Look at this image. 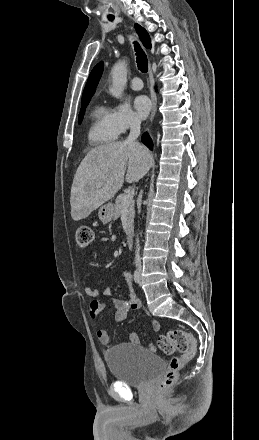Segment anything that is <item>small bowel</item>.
I'll return each mask as SVG.
<instances>
[{
  "instance_id": "obj_1",
  "label": "small bowel",
  "mask_w": 259,
  "mask_h": 440,
  "mask_svg": "<svg viewBox=\"0 0 259 440\" xmlns=\"http://www.w3.org/2000/svg\"><path fill=\"white\" fill-rule=\"evenodd\" d=\"M103 242L115 241L116 236L111 235L109 237H103L101 239ZM122 277L126 286L128 299H113L110 298L112 295V291L109 288H91L90 286H85V293L88 297L92 298L89 305V314L92 318H96L100 313H102L106 307V303L100 302L96 300L99 296H103L107 299V303L110 304L114 309V320L117 322H121L125 320L131 311L141 310L143 309V305L141 301L136 297L134 286H133V278L132 275L128 271H124L122 273ZM150 324L155 331L160 330V323L156 320H151ZM97 337L101 344L106 347L112 346V337L109 331L105 329H101L97 331ZM128 343L132 345H138L140 343V338L137 333L132 332L129 335ZM149 349L154 351L156 348L153 344H149Z\"/></svg>"
}]
</instances>
